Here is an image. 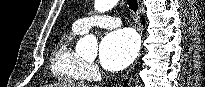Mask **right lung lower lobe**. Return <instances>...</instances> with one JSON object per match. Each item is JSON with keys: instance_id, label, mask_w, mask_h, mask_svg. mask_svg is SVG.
Segmentation results:
<instances>
[{"instance_id": "right-lung-lower-lobe-1", "label": "right lung lower lobe", "mask_w": 205, "mask_h": 87, "mask_svg": "<svg viewBox=\"0 0 205 87\" xmlns=\"http://www.w3.org/2000/svg\"><path fill=\"white\" fill-rule=\"evenodd\" d=\"M142 21H143V23H144V17L142 16Z\"/></svg>"}]
</instances>
